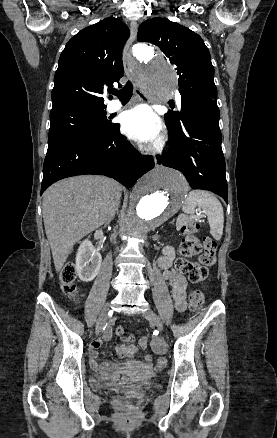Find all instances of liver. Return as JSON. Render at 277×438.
<instances>
[{"instance_id":"1","label":"liver","mask_w":277,"mask_h":438,"mask_svg":"<svg viewBox=\"0 0 277 438\" xmlns=\"http://www.w3.org/2000/svg\"><path fill=\"white\" fill-rule=\"evenodd\" d=\"M122 186L105 176L60 180L43 194V220L56 272L74 244L108 224L121 200Z\"/></svg>"}]
</instances>
